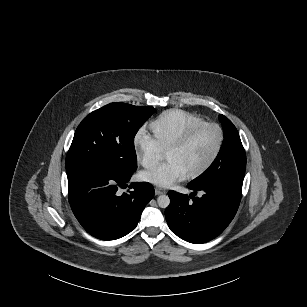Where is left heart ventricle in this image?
<instances>
[{
	"mask_svg": "<svg viewBox=\"0 0 307 307\" xmlns=\"http://www.w3.org/2000/svg\"><path fill=\"white\" fill-rule=\"evenodd\" d=\"M220 141V133L216 128L203 130L185 148L164 154L166 161L180 166L186 174L200 169L215 153Z\"/></svg>",
	"mask_w": 307,
	"mask_h": 307,
	"instance_id": "1",
	"label": "left heart ventricle"
}]
</instances>
